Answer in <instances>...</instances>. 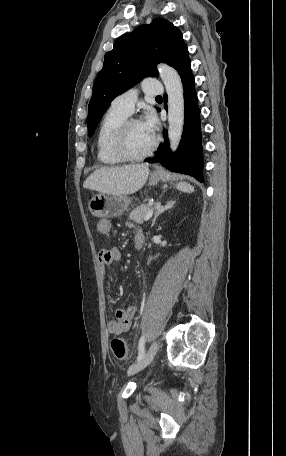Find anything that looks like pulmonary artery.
Returning a JSON list of instances; mask_svg holds the SVG:
<instances>
[{"instance_id": "e3ab8cb5", "label": "pulmonary artery", "mask_w": 286, "mask_h": 456, "mask_svg": "<svg viewBox=\"0 0 286 456\" xmlns=\"http://www.w3.org/2000/svg\"><path fill=\"white\" fill-rule=\"evenodd\" d=\"M142 89L145 94L150 96H159L163 93V89L159 85V80L154 77L146 78L143 82ZM137 99L138 89L134 87L114 98L111 107L129 116L134 110Z\"/></svg>"}]
</instances>
